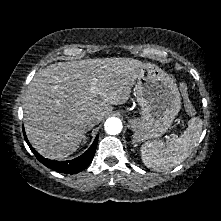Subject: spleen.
<instances>
[{"mask_svg":"<svg viewBox=\"0 0 221 221\" xmlns=\"http://www.w3.org/2000/svg\"><path fill=\"white\" fill-rule=\"evenodd\" d=\"M202 120L198 117L189 121L188 128L165 144L162 141L146 142L141 147V158L146 167L156 171L168 170L182 163L197 145Z\"/></svg>","mask_w":221,"mask_h":221,"instance_id":"3e777b00","label":"spleen"}]
</instances>
